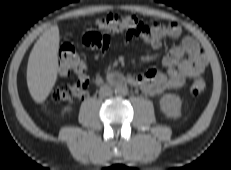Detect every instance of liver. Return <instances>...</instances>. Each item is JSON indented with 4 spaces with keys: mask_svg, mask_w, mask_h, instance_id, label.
Listing matches in <instances>:
<instances>
[{
    "mask_svg": "<svg viewBox=\"0 0 231 170\" xmlns=\"http://www.w3.org/2000/svg\"><path fill=\"white\" fill-rule=\"evenodd\" d=\"M59 28L51 26L34 44L27 65V85L31 97L43 103L57 80Z\"/></svg>",
    "mask_w": 231,
    "mask_h": 170,
    "instance_id": "liver-1",
    "label": "liver"
}]
</instances>
